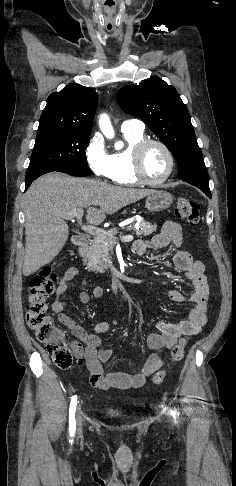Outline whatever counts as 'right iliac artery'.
Masks as SVG:
<instances>
[{
	"instance_id": "1",
	"label": "right iliac artery",
	"mask_w": 236,
	"mask_h": 486,
	"mask_svg": "<svg viewBox=\"0 0 236 486\" xmlns=\"http://www.w3.org/2000/svg\"><path fill=\"white\" fill-rule=\"evenodd\" d=\"M76 405H77V396H73L69 408V432L71 437L74 436L76 430V421H75Z\"/></svg>"
}]
</instances>
